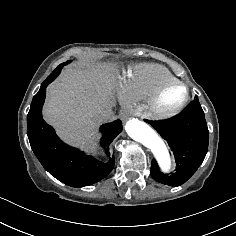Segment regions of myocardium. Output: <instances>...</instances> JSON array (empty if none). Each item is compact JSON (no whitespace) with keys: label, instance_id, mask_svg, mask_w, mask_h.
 I'll return each instance as SVG.
<instances>
[{"label":"myocardium","instance_id":"myocardium-1","mask_svg":"<svg viewBox=\"0 0 236 236\" xmlns=\"http://www.w3.org/2000/svg\"><path fill=\"white\" fill-rule=\"evenodd\" d=\"M182 88L184 94L178 103L171 107H164L162 100L165 94L174 88ZM190 101V90L189 87L182 81H171L162 84L148 100V112L150 117L157 121L170 120L179 115Z\"/></svg>","mask_w":236,"mask_h":236}]
</instances>
